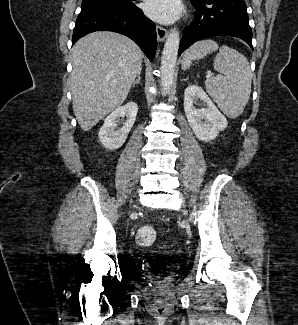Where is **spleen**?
Segmentation results:
<instances>
[{
    "instance_id": "1",
    "label": "spleen",
    "mask_w": 298,
    "mask_h": 325,
    "mask_svg": "<svg viewBox=\"0 0 298 325\" xmlns=\"http://www.w3.org/2000/svg\"><path fill=\"white\" fill-rule=\"evenodd\" d=\"M215 50L219 52L214 58L213 66L220 74L206 78L205 88L228 118H237L243 112L251 94L252 72L242 52L226 44L219 46L210 38L198 40L186 50L182 68H189L191 60L204 58Z\"/></svg>"
}]
</instances>
